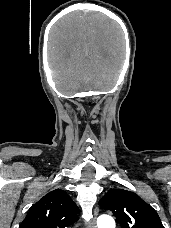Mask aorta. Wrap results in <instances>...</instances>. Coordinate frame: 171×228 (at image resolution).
I'll return each mask as SVG.
<instances>
[{
	"label": "aorta",
	"instance_id": "aorta-1",
	"mask_svg": "<svg viewBox=\"0 0 171 228\" xmlns=\"http://www.w3.org/2000/svg\"><path fill=\"white\" fill-rule=\"evenodd\" d=\"M98 228H115V221L111 216L102 215L97 220Z\"/></svg>",
	"mask_w": 171,
	"mask_h": 228
}]
</instances>
